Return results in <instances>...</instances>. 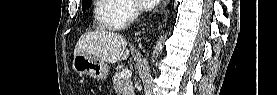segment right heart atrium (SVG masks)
<instances>
[{
	"label": "right heart atrium",
	"instance_id": "right-heart-atrium-1",
	"mask_svg": "<svg viewBox=\"0 0 277 95\" xmlns=\"http://www.w3.org/2000/svg\"><path fill=\"white\" fill-rule=\"evenodd\" d=\"M137 7L130 1H125L121 10V16L125 22L132 21L137 16Z\"/></svg>",
	"mask_w": 277,
	"mask_h": 95
}]
</instances>
